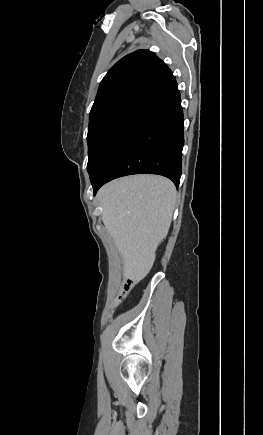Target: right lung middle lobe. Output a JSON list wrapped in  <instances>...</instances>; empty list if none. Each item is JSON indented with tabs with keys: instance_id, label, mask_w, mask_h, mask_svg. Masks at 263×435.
Wrapping results in <instances>:
<instances>
[{
	"instance_id": "obj_1",
	"label": "right lung middle lobe",
	"mask_w": 263,
	"mask_h": 435,
	"mask_svg": "<svg viewBox=\"0 0 263 435\" xmlns=\"http://www.w3.org/2000/svg\"><path fill=\"white\" fill-rule=\"evenodd\" d=\"M143 104L123 101L103 105L90 114L87 135L88 165L92 179L109 155L115 143Z\"/></svg>"
}]
</instances>
